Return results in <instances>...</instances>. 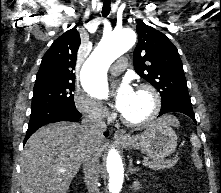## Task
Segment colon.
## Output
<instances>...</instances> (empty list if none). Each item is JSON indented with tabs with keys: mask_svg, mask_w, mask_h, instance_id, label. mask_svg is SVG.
<instances>
[{
	"mask_svg": "<svg viewBox=\"0 0 221 193\" xmlns=\"http://www.w3.org/2000/svg\"><path fill=\"white\" fill-rule=\"evenodd\" d=\"M192 160H193V164L196 167V169L198 171H200L202 169V161L200 160V158L196 154H193Z\"/></svg>",
	"mask_w": 221,
	"mask_h": 193,
	"instance_id": "obj_1",
	"label": "colon"
}]
</instances>
